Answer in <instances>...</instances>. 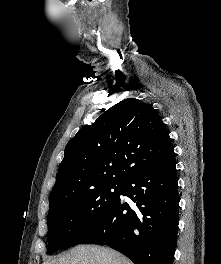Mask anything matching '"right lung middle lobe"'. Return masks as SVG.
I'll return each mask as SVG.
<instances>
[{
	"mask_svg": "<svg viewBox=\"0 0 221 264\" xmlns=\"http://www.w3.org/2000/svg\"><path fill=\"white\" fill-rule=\"evenodd\" d=\"M122 183H109L65 198L49 211L48 251L79 244L113 210L120 199Z\"/></svg>",
	"mask_w": 221,
	"mask_h": 264,
	"instance_id": "right-lung-middle-lobe-1",
	"label": "right lung middle lobe"
}]
</instances>
